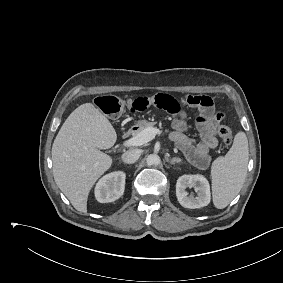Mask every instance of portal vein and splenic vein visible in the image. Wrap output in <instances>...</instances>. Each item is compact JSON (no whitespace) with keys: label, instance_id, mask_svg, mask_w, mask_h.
Instances as JSON below:
<instances>
[{"label":"portal vein and splenic vein","instance_id":"1","mask_svg":"<svg viewBox=\"0 0 283 283\" xmlns=\"http://www.w3.org/2000/svg\"><path fill=\"white\" fill-rule=\"evenodd\" d=\"M160 133V130L157 128H146L136 136L126 140L123 143L124 147H131V146H141L152 139L155 138L157 134Z\"/></svg>","mask_w":283,"mask_h":283}]
</instances>
